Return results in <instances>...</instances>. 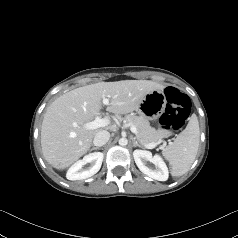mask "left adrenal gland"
I'll return each mask as SVG.
<instances>
[{
	"instance_id": "a2214340",
	"label": "left adrenal gland",
	"mask_w": 238,
	"mask_h": 238,
	"mask_svg": "<svg viewBox=\"0 0 238 238\" xmlns=\"http://www.w3.org/2000/svg\"><path fill=\"white\" fill-rule=\"evenodd\" d=\"M133 146H134V147L138 146V147H140V148H143V146L140 145V144L136 141L135 138H133Z\"/></svg>"
}]
</instances>
